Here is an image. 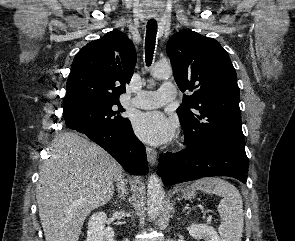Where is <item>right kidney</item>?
Masks as SVG:
<instances>
[{"mask_svg":"<svg viewBox=\"0 0 295 241\" xmlns=\"http://www.w3.org/2000/svg\"><path fill=\"white\" fill-rule=\"evenodd\" d=\"M107 216L104 212L93 214L88 222L86 241H114V231L105 227Z\"/></svg>","mask_w":295,"mask_h":241,"instance_id":"ca27d5eb","label":"right kidney"}]
</instances>
